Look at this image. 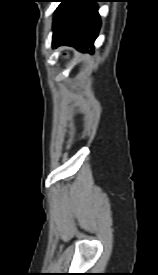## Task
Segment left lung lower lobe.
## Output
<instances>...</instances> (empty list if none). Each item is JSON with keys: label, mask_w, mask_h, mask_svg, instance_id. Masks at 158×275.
<instances>
[{"label": "left lung lower lobe", "mask_w": 158, "mask_h": 275, "mask_svg": "<svg viewBox=\"0 0 158 275\" xmlns=\"http://www.w3.org/2000/svg\"><path fill=\"white\" fill-rule=\"evenodd\" d=\"M60 1L54 16L53 48L68 45L81 52H93L101 25L96 4L99 0Z\"/></svg>", "instance_id": "1"}]
</instances>
